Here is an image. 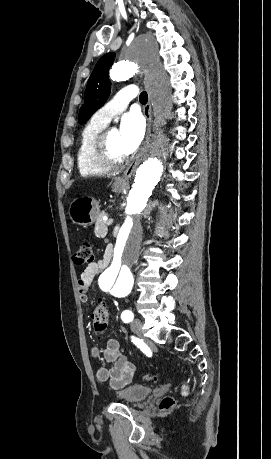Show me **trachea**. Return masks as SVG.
<instances>
[{"label": "trachea", "mask_w": 271, "mask_h": 459, "mask_svg": "<svg viewBox=\"0 0 271 459\" xmlns=\"http://www.w3.org/2000/svg\"><path fill=\"white\" fill-rule=\"evenodd\" d=\"M139 100H140L141 103H144V104H145V103L147 102V100H148V95H147V93H146V92H142V93L140 94V96H139Z\"/></svg>", "instance_id": "1"}]
</instances>
